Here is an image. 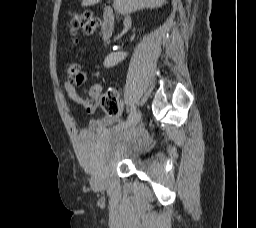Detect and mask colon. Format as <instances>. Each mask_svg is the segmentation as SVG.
I'll return each instance as SVG.
<instances>
[{"instance_id": "obj_1", "label": "colon", "mask_w": 256, "mask_h": 228, "mask_svg": "<svg viewBox=\"0 0 256 228\" xmlns=\"http://www.w3.org/2000/svg\"><path fill=\"white\" fill-rule=\"evenodd\" d=\"M99 25V20L90 12L74 14L69 21V31L75 35L79 29L86 34H93ZM63 72L67 78L75 77L79 74V66L75 63H67L63 67ZM87 102V101H86ZM92 102H87V107L91 108ZM101 107L108 116H115L119 111L117 93L113 90L106 92L101 99Z\"/></svg>"}]
</instances>
